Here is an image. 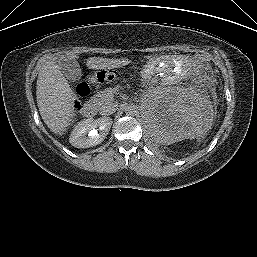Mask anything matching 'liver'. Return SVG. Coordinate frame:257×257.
I'll use <instances>...</instances> for the list:
<instances>
[{
  "label": "liver",
  "mask_w": 257,
  "mask_h": 257,
  "mask_svg": "<svg viewBox=\"0 0 257 257\" xmlns=\"http://www.w3.org/2000/svg\"><path fill=\"white\" fill-rule=\"evenodd\" d=\"M76 60L74 52L65 53ZM130 63L127 59L90 57L86 65L89 69H113ZM36 98L40 115L47 127L57 135H63L76 116L73 91L69 82L60 71L56 57L50 56L42 64L36 86Z\"/></svg>",
  "instance_id": "liver-1"
}]
</instances>
